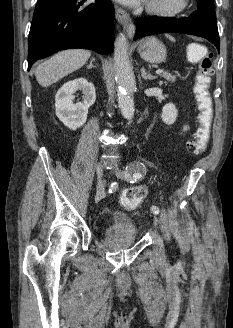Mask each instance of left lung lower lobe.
Masks as SVG:
<instances>
[{
    "label": "left lung lower lobe",
    "instance_id": "obj_1",
    "mask_svg": "<svg viewBox=\"0 0 233 328\" xmlns=\"http://www.w3.org/2000/svg\"><path fill=\"white\" fill-rule=\"evenodd\" d=\"M162 32L185 33L203 37L212 42L219 50L216 14L206 12L200 8L181 20L156 16L149 19L139 18L134 39Z\"/></svg>",
    "mask_w": 233,
    "mask_h": 328
}]
</instances>
